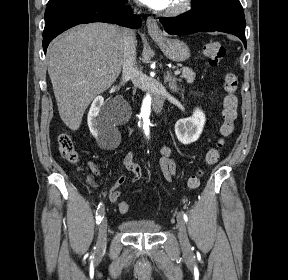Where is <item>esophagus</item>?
<instances>
[{"instance_id":"1","label":"esophagus","mask_w":288,"mask_h":280,"mask_svg":"<svg viewBox=\"0 0 288 280\" xmlns=\"http://www.w3.org/2000/svg\"><path fill=\"white\" fill-rule=\"evenodd\" d=\"M146 26H147L148 33L152 38H162L163 37L162 30L160 29L156 19H154L153 17L147 18Z\"/></svg>"}]
</instances>
